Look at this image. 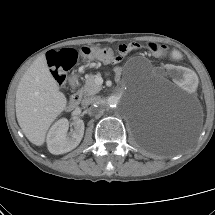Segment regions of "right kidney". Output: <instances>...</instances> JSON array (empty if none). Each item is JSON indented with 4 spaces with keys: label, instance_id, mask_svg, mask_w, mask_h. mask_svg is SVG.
<instances>
[{
    "label": "right kidney",
    "instance_id": "1",
    "mask_svg": "<svg viewBox=\"0 0 215 215\" xmlns=\"http://www.w3.org/2000/svg\"><path fill=\"white\" fill-rule=\"evenodd\" d=\"M75 130L70 137L67 135L69 121L62 118L54 123L47 134V146L50 153L58 155L67 153L76 148L84 135V122L81 119H75Z\"/></svg>",
    "mask_w": 215,
    "mask_h": 215
}]
</instances>
